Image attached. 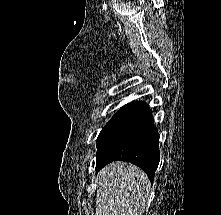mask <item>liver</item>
I'll use <instances>...</instances> for the list:
<instances>
[{
    "label": "liver",
    "mask_w": 221,
    "mask_h": 215,
    "mask_svg": "<svg viewBox=\"0 0 221 215\" xmlns=\"http://www.w3.org/2000/svg\"><path fill=\"white\" fill-rule=\"evenodd\" d=\"M95 215H142L150 194V182L137 166L116 161L97 175Z\"/></svg>",
    "instance_id": "liver-1"
}]
</instances>
